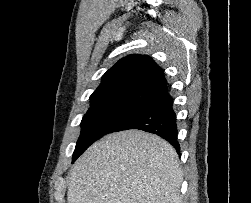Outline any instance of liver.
<instances>
[{"label":"liver","instance_id":"obj_1","mask_svg":"<svg viewBox=\"0 0 251 203\" xmlns=\"http://www.w3.org/2000/svg\"><path fill=\"white\" fill-rule=\"evenodd\" d=\"M175 149L157 135L128 130L90 146L71 171L67 203H181Z\"/></svg>","mask_w":251,"mask_h":203}]
</instances>
